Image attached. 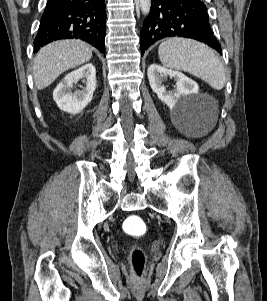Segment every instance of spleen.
Masks as SVG:
<instances>
[{
    "instance_id": "3e777b00",
    "label": "spleen",
    "mask_w": 267,
    "mask_h": 301,
    "mask_svg": "<svg viewBox=\"0 0 267 301\" xmlns=\"http://www.w3.org/2000/svg\"><path fill=\"white\" fill-rule=\"evenodd\" d=\"M161 63L170 69L188 72L213 89H223L226 81L224 67L207 45L192 39L169 38L159 45Z\"/></svg>"
}]
</instances>
